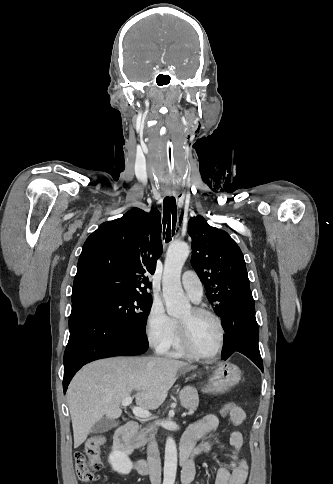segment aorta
I'll use <instances>...</instances> for the list:
<instances>
[{"mask_svg": "<svg viewBox=\"0 0 333 484\" xmlns=\"http://www.w3.org/2000/svg\"><path fill=\"white\" fill-rule=\"evenodd\" d=\"M189 252L187 243L175 242L170 245L166 254L162 291L169 316L182 315L190 308L189 300L185 297L181 286V271ZM176 472L177 448L174 439L169 437L165 444L163 484H174Z\"/></svg>", "mask_w": 333, "mask_h": 484, "instance_id": "aorta-1", "label": "aorta"}]
</instances>
